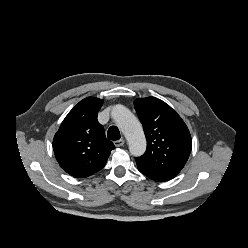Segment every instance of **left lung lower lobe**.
<instances>
[{"label":"left lung lower lobe","instance_id":"obj_1","mask_svg":"<svg viewBox=\"0 0 248 248\" xmlns=\"http://www.w3.org/2000/svg\"><path fill=\"white\" fill-rule=\"evenodd\" d=\"M138 170L144 174L145 176L149 177L150 179L158 182H163V181H168L176 177V175L155 170L150 167H147L146 165L140 163L139 161L136 160Z\"/></svg>","mask_w":248,"mask_h":248}]
</instances>
